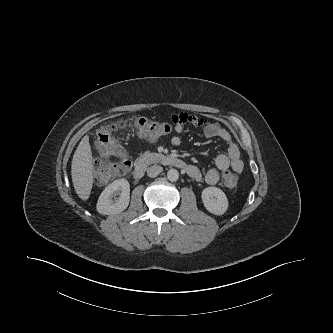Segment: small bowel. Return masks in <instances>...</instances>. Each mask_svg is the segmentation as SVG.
<instances>
[{"label":"small bowel","mask_w":333,"mask_h":333,"mask_svg":"<svg viewBox=\"0 0 333 333\" xmlns=\"http://www.w3.org/2000/svg\"><path fill=\"white\" fill-rule=\"evenodd\" d=\"M175 124L177 134H182L185 130V125L190 124L196 127H201L207 138H219L226 143L227 150L225 153H220L215 158V167L208 169L204 174L193 165H190L188 174L197 181L204 180L209 185L216 184L220 175L231 169L235 173H241L244 164L240 158V152L237 144L232 139L230 133L217 123L210 122L206 118L197 117L194 115L179 113L172 117ZM171 143L178 146L181 143L179 136H173Z\"/></svg>","instance_id":"obj_1"}]
</instances>
